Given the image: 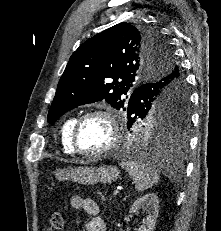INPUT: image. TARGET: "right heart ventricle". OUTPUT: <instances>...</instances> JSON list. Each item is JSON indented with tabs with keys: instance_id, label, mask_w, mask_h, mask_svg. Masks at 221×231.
I'll list each match as a JSON object with an SVG mask.
<instances>
[{
	"instance_id": "right-heart-ventricle-1",
	"label": "right heart ventricle",
	"mask_w": 221,
	"mask_h": 231,
	"mask_svg": "<svg viewBox=\"0 0 221 231\" xmlns=\"http://www.w3.org/2000/svg\"><path fill=\"white\" fill-rule=\"evenodd\" d=\"M75 120H76L75 116H71V117L67 118L63 122V124L61 126V130H60L62 149L67 154H73L74 153V150H73L72 145H71V132H72V128H73V125L75 123Z\"/></svg>"
}]
</instances>
